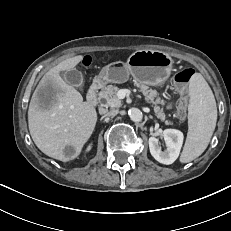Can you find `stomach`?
<instances>
[{
  "mask_svg": "<svg viewBox=\"0 0 231 231\" xmlns=\"http://www.w3.org/2000/svg\"><path fill=\"white\" fill-rule=\"evenodd\" d=\"M172 65V58L165 52L138 50L126 63L119 61L105 66L99 78L107 83H124L132 76L141 84L159 86L169 77Z\"/></svg>",
  "mask_w": 231,
  "mask_h": 231,
  "instance_id": "stomach-1",
  "label": "stomach"
}]
</instances>
